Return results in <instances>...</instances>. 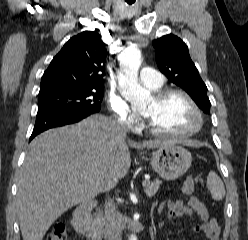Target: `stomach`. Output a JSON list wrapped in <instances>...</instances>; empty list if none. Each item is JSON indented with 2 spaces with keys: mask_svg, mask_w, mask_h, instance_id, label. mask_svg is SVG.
Wrapping results in <instances>:
<instances>
[{
  "mask_svg": "<svg viewBox=\"0 0 248 240\" xmlns=\"http://www.w3.org/2000/svg\"><path fill=\"white\" fill-rule=\"evenodd\" d=\"M191 163V153L175 144L158 148L151 157L152 168L166 180H174L182 176Z\"/></svg>",
  "mask_w": 248,
  "mask_h": 240,
  "instance_id": "0dacf381",
  "label": "stomach"
}]
</instances>
